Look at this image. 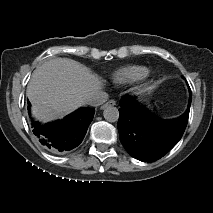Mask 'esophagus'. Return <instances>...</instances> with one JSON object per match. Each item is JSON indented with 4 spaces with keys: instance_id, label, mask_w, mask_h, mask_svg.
Listing matches in <instances>:
<instances>
[{
    "instance_id": "34e87169",
    "label": "esophagus",
    "mask_w": 213,
    "mask_h": 213,
    "mask_svg": "<svg viewBox=\"0 0 213 213\" xmlns=\"http://www.w3.org/2000/svg\"><path fill=\"white\" fill-rule=\"evenodd\" d=\"M114 105H116V102H115L114 100H110V101H108L106 104H104V105L101 107V109H104V108H106L107 106H114Z\"/></svg>"
}]
</instances>
